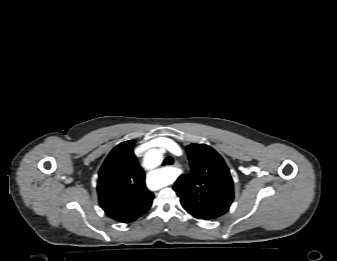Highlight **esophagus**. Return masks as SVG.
I'll return each mask as SVG.
<instances>
[{
	"instance_id": "obj_1",
	"label": "esophagus",
	"mask_w": 337,
	"mask_h": 261,
	"mask_svg": "<svg viewBox=\"0 0 337 261\" xmlns=\"http://www.w3.org/2000/svg\"><path fill=\"white\" fill-rule=\"evenodd\" d=\"M174 167H179V163L175 162Z\"/></svg>"
}]
</instances>
